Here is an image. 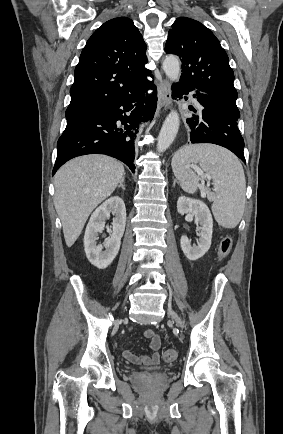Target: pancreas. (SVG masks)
Segmentation results:
<instances>
[{"label":"pancreas","mask_w":283,"mask_h":434,"mask_svg":"<svg viewBox=\"0 0 283 434\" xmlns=\"http://www.w3.org/2000/svg\"><path fill=\"white\" fill-rule=\"evenodd\" d=\"M201 194L203 197H207L208 199H211L213 197V194L209 188L201 189Z\"/></svg>","instance_id":"pancreas-1"}]
</instances>
